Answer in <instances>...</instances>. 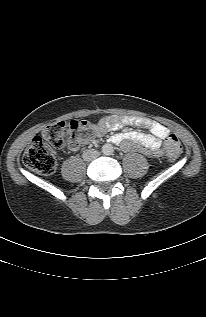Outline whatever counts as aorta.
<instances>
[{
    "mask_svg": "<svg viewBox=\"0 0 206 317\" xmlns=\"http://www.w3.org/2000/svg\"><path fill=\"white\" fill-rule=\"evenodd\" d=\"M102 152L105 155H111L114 152L113 146L111 144L103 145Z\"/></svg>",
    "mask_w": 206,
    "mask_h": 317,
    "instance_id": "obj_1",
    "label": "aorta"
}]
</instances>
